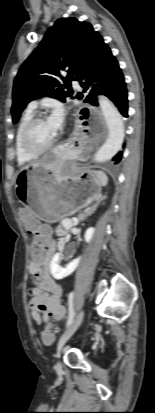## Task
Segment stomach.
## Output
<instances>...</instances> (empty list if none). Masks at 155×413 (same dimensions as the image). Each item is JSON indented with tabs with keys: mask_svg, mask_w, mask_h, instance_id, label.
Here are the masks:
<instances>
[{
	"mask_svg": "<svg viewBox=\"0 0 155 413\" xmlns=\"http://www.w3.org/2000/svg\"><path fill=\"white\" fill-rule=\"evenodd\" d=\"M15 191L19 201L37 218L54 223L97 201L101 184L95 172L64 168L51 155L21 168Z\"/></svg>",
	"mask_w": 155,
	"mask_h": 413,
	"instance_id": "0dacf381",
	"label": "stomach"
}]
</instances>
